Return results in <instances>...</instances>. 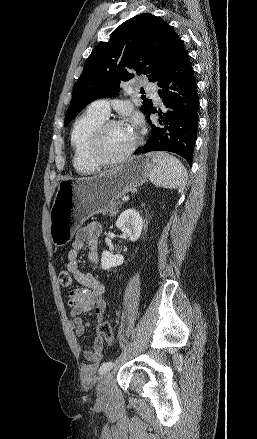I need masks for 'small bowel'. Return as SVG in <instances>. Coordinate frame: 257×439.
Segmentation results:
<instances>
[{"label":"small bowel","mask_w":257,"mask_h":439,"mask_svg":"<svg viewBox=\"0 0 257 439\" xmlns=\"http://www.w3.org/2000/svg\"><path fill=\"white\" fill-rule=\"evenodd\" d=\"M101 230L102 228L97 222H91L80 228L67 254L66 271L71 274L80 286L70 292L68 300L72 317L70 327L76 339L81 337L84 331L90 327V322L83 319V314L95 312L101 321L106 311L105 286L95 276L81 271L78 265L79 253L85 245H87L88 260L93 264L98 262V244ZM103 347L104 340L97 334L92 347L84 351V357L89 362L82 366L84 379L91 377L96 371L103 358Z\"/></svg>","instance_id":"small-bowel-1"}]
</instances>
